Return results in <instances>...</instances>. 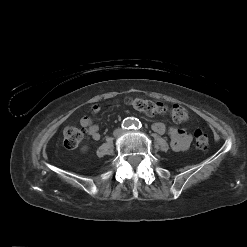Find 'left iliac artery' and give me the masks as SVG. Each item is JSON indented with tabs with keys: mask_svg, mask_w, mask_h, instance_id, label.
I'll return each mask as SVG.
<instances>
[{
	"mask_svg": "<svg viewBox=\"0 0 247 247\" xmlns=\"http://www.w3.org/2000/svg\"><path fill=\"white\" fill-rule=\"evenodd\" d=\"M141 127H142L141 122H140L138 119H136V120L134 121L133 128L136 129V130H138V129H140Z\"/></svg>",
	"mask_w": 247,
	"mask_h": 247,
	"instance_id": "1",
	"label": "left iliac artery"
}]
</instances>
